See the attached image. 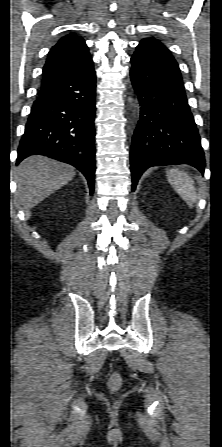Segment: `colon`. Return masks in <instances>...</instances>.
Returning <instances> with one entry per match:
<instances>
[{
	"label": "colon",
	"mask_w": 222,
	"mask_h": 447,
	"mask_svg": "<svg viewBox=\"0 0 222 447\" xmlns=\"http://www.w3.org/2000/svg\"><path fill=\"white\" fill-rule=\"evenodd\" d=\"M122 385V378L118 373H113L109 379L108 386L111 391H117Z\"/></svg>",
	"instance_id": "obj_1"
}]
</instances>
